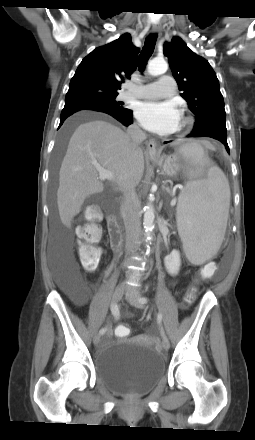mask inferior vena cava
I'll return each mask as SVG.
<instances>
[{"instance_id": "1", "label": "inferior vena cava", "mask_w": 255, "mask_h": 440, "mask_svg": "<svg viewBox=\"0 0 255 440\" xmlns=\"http://www.w3.org/2000/svg\"><path fill=\"white\" fill-rule=\"evenodd\" d=\"M127 135L131 139V147L136 149L142 141L146 139V134L136 125H130L127 129ZM124 199L121 205V214L123 217L126 231V254H133L138 246V238L141 233V222L139 213V200L133 185H127L123 189Z\"/></svg>"}]
</instances>
